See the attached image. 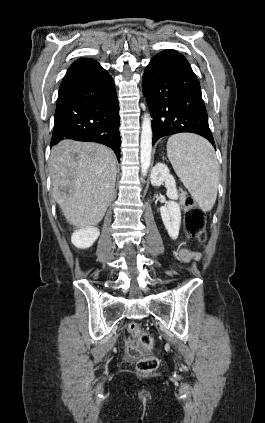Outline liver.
<instances>
[{
	"label": "liver",
	"instance_id": "liver-1",
	"mask_svg": "<svg viewBox=\"0 0 265 423\" xmlns=\"http://www.w3.org/2000/svg\"><path fill=\"white\" fill-rule=\"evenodd\" d=\"M53 196L67 222L93 227L110 205L116 181L114 153L104 145L63 140L51 150Z\"/></svg>",
	"mask_w": 265,
	"mask_h": 423
}]
</instances>
